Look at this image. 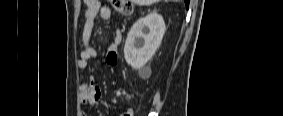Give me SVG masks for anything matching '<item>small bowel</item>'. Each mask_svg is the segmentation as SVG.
<instances>
[{
	"label": "small bowel",
	"instance_id": "1",
	"mask_svg": "<svg viewBox=\"0 0 283 116\" xmlns=\"http://www.w3.org/2000/svg\"><path fill=\"white\" fill-rule=\"evenodd\" d=\"M86 5V10L83 14V30H82V42L83 50L80 53V56L77 60V65L81 69H86L88 62L91 59H94L97 56V51L89 43L90 37L94 29V23L97 16L101 20L107 21L111 17L110 10L102 6L98 0H84ZM122 40V32L120 29H117L115 32L114 41L108 46L106 51V62L109 65H114L117 62V50ZM80 92V101L82 106L95 105L101 98L102 92L101 88L95 85L93 82H87L81 84L79 88ZM115 101V99L113 100ZM123 116H132L133 111L127 109L123 112Z\"/></svg>",
	"mask_w": 283,
	"mask_h": 116
}]
</instances>
